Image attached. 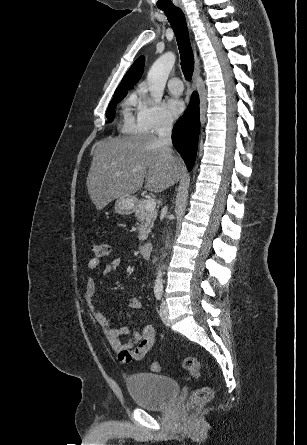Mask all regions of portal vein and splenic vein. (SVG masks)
Returning a JSON list of instances; mask_svg holds the SVG:
<instances>
[{"label":"portal vein and splenic vein","instance_id":"obj_1","mask_svg":"<svg viewBox=\"0 0 307 445\" xmlns=\"http://www.w3.org/2000/svg\"><path fill=\"white\" fill-rule=\"evenodd\" d=\"M136 170H138V168H132V172H136ZM115 174H121V172H115ZM145 206H146L147 210H151V208H155L156 200H154V198H148V200H146Z\"/></svg>","mask_w":307,"mask_h":445}]
</instances>
